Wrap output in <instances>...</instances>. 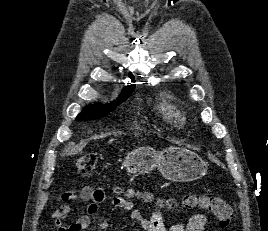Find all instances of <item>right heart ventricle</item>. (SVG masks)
I'll use <instances>...</instances> for the list:
<instances>
[{
    "instance_id": "obj_1",
    "label": "right heart ventricle",
    "mask_w": 268,
    "mask_h": 231,
    "mask_svg": "<svg viewBox=\"0 0 268 231\" xmlns=\"http://www.w3.org/2000/svg\"><path fill=\"white\" fill-rule=\"evenodd\" d=\"M155 109L158 116L171 126L180 127L187 121L185 110L168 99H160L156 104Z\"/></svg>"
}]
</instances>
